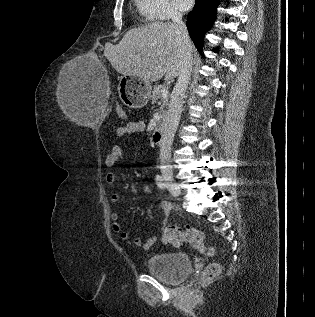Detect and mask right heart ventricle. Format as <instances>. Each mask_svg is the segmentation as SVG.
<instances>
[{"label": "right heart ventricle", "mask_w": 315, "mask_h": 317, "mask_svg": "<svg viewBox=\"0 0 315 317\" xmlns=\"http://www.w3.org/2000/svg\"><path fill=\"white\" fill-rule=\"evenodd\" d=\"M137 8H138V11H139L140 15H141L144 19H146V20L149 19V18L145 15V13L143 12V10H142V8H141L139 2L137 3Z\"/></svg>", "instance_id": "right-heart-ventricle-1"}]
</instances>
